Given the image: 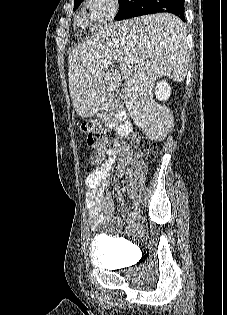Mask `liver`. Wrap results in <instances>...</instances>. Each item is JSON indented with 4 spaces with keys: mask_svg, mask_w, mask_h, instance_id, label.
I'll return each mask as SVG.
<instances>
[{
    "mask_svg": "<svg viewBox=\"0 0 227 315\" xmlns=\"http://www.w3.org/2000/svg\"><path fill=\"white\" fill-rule=\"evenodd\" d=\"M189 62L186 26L177 16L158 13L115 22L69 55L73 107L82 118L95 115L118 96L125 79L123 98L131 118L149 139L162 141L172 130L173 116L155 102L153 87L163 76L182 82ZM122 67L128 71L123 73Z\"/></svg>",
    "mask_w": 227,
    "mask_h": 315,
    "instance_id": "6515ba94",
    "label": "liver"
}]
</instances>
